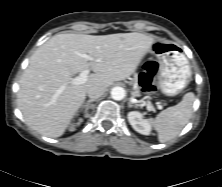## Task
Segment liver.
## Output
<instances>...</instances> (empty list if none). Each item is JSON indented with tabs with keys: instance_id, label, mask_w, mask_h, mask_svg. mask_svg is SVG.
<instances>
[{
	"instance_id": "1",
	"label": "liver",
	"mask_w": 222,
	"mask_h": 187,
	"mask_svg": "<svg viewBox=\"0 0 222 187\" xmlns=\"http://www.w3.org/2000/svg\"><path fill=\"white\" fill-rule=\"evenodd\" d=\"M154 41V36L136 32L53 36L34 52L20 79L17 102L26 124L41 135L62 136L88 89H106L133 74ZM85 53L92 59L81 57ZM86 69L94 72L86 82L71 84L72 75Z\"/></svg>"
}]
</instances>
